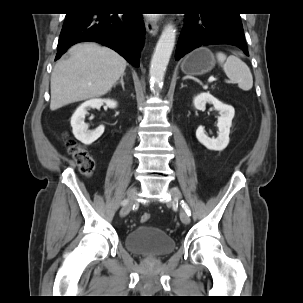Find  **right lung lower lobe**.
Segmentation results:
<instances>
[{
  "instance_id": "obj_1",
  "label": "right lung lower lobe",
  "mask_w": 303,
  "mask_h": 303,
  "mask_svg": "<svg viewBox=\"0 0 303 303\" xmlns=\"http://www.w3.org/2000/svg\"><path fill=\"white\" fill-rule=\"evenodd\" d=\"M144 35L145 27L140 14L118 16L105 10L91 9L68 13L60 33L55 60L72 45L92 41L112 48L133 66L139 67Z\"/></svg>"
}]
</instances>
